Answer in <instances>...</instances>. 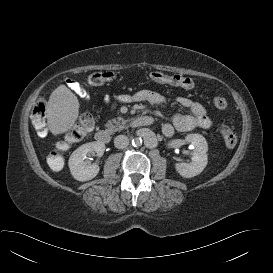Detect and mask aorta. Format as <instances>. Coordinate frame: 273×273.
I'll use <instances>...</instances> for the list:
<instances>
[{
	"mask_svg": "<svg viewBox=\"0 0 273 273\" xmlns=\"http://www.w3.org/2000/svg\"><path fill=\"white\" fill-rule=\"evenodd\" d=\"M141 144H142V139L139 137H136L135 139L132 140L133 146H140Z\"/></svg>",
	"mask_w": 273,
	"mask_h": 273,
	"instance_id": "aorta-1",
	"label": "aorta"
}]
</instances>
